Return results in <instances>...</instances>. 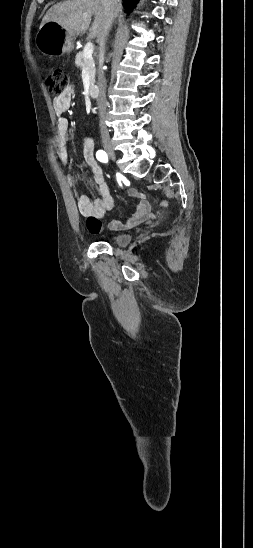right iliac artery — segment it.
<instances>
[{
	"mask_svg": "<svg viewBox=\"0 0 253 548\" xmlns=\"http://www.w3.org/2000/svg\"><path fill=\"white\" fill-rule=\"evenodd\" d=\"M96 158L97 160H99L100 162H103V163H107L108 162V156L106 154L105 151L103 150H98L96 152ZM119 180V179H118Z\"/></svg>",
	"mask_w": 253,
	"mask_h": 548,
	"instance_id": "right-iliac-artery-1",
	"label": "right iliac artery"
}]
</instances>
